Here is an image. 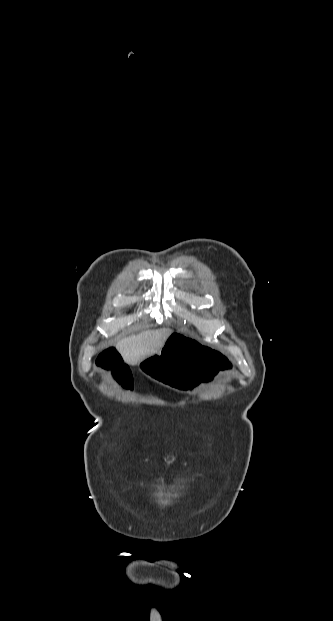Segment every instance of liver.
Wrapping results in <instances>:
<instances>
[{
	"label": "liver",
	"instance_id": "1",
	"mask_svg": "<svg viewBox=\"0 0 333 621\" xmlns=\"http://www.w3.org/2000/svg\"><path fill=\"white\" fill-rule=\"evenodd\" d=\"M171 330L168 328L146 330L126 337L116 344L118 352L128 365H136L145 358L157 353L163 347Z\"/></svg>",
	"mask_w": 333,
	"mask_h": 621
}]
</instances>
